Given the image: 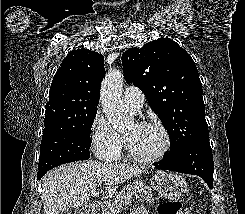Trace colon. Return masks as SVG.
<instances>
[{"label": "colon", "mask_w": 245, "mask_h": 214, "mask_svg": "<svg viewBox=\"0 0 245 214\" xmlns=\"http://www.w3.org/2000/svg\"><path fill=\"white\" fill-rule=\"evenodd\" d=\"M159 214H193L188 210H182L181 203L177 200L162 202L158 207Z\"/></svg>", "instance_id": "5ec220e1"}]
</instances>
